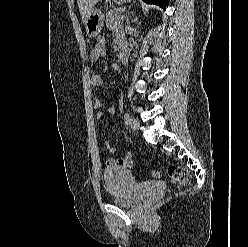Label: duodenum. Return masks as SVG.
<instances>
[{"instance_id":"duodenum-1","label":"duodenum","mask_w":248,"mask_h":247,"mask_svg":"<svg viewBox=\"0 0 248 247\" xmlns=\"http://www.w3.org/2000/svg\"><path fill=\"white\" fill-rule=\"evenodd\" d=\"M119 57H120V62L121 63H123V64L126 63L128 61V52L125 51V50H122L120 52Z\"/></svg>"}]
</instances>
